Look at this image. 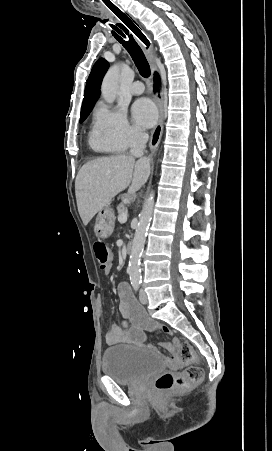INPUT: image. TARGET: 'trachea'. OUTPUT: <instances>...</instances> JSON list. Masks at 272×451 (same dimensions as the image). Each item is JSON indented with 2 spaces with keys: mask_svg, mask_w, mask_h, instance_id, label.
Returning a JSON list of instances; mask_svg holds the SVG:
<instances>
[{
  "mask_svg": "<svg viewBox=\"0 0 272 451\" xmlns=\"http://www.w3.org/2000/svg\"><path fill=\"white\" fill-rule=\"evenodd\" d=\"M126 27L137 28L135 23L132 22L128 17L125 20H122ZM119 29L122 31L119 33H113V36L118 40V42L122 43L123 47L128 51L131 55L136 67L139 70V73L143 77H149L150 75V66L147 62V59L139 47L138 43L134 40L133 35L129 34V30L122 24H117Z\"/></svg>",
  "mask_w": 272,
  "mask_h": 451,
  "instance_id": "3493384b",
  "label": "trachea"
}]
</instances>
